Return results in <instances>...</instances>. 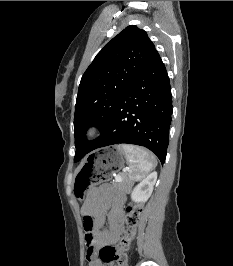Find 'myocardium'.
Returning <instances> with one entry per match:
<instances>
[{"instance_id": "myocardium-1", "label": "myocardium", "mask_w": 233, "mask_h": 266, "mask_svg": "<svg viewBox=\"0 0 233 266\" xmlns=\"http://www.w3.org/2000/svg\"><path fill=\"white\" fill-rule=\"evenodd\" d=\"M100 132L98 125H90L85 131V137L87 140H93Z\"/></svg>"}]
</instances>
